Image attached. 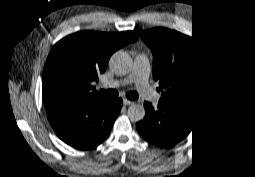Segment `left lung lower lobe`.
Segmentation results:
<instances>
[{
	"instance_id": "left-lung-lower-lobe-1",
	"label": "left lung lower lobe",
	"mask_w": 255,
	"mask_h": 177,
	"mask_svg": "<svg viewBox=\"0 0 255 177\" xmlns=\"http://www.w3.org/2000/svg\"><path fill=\"white\" fill-rule=\"evenodd\" d=\"M146 114L142 121L136 124L138 132L150 143L168 147L182 140L189 130L183 132L181 124L190 123L192 125L197 120L195 108L182 106L167 101L160 100L157 109H154L149 102L144 103Z\"/></svg>"
}]
</instances>
